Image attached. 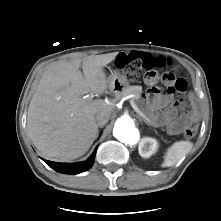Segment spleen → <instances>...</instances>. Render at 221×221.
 Returning <instances> with one entry per match:
<instances>
[{
	"label": "spleen",
	"instance_id": "spleen-1",
	"mask_svg": "<svg viewBox=\"0 0 221 221\" xmlns=\"http://www.w3.org/2000/svg\"><path fill=\"white\" fill-rule=\"evenodd\" d=\"M193 143L190 141H177L173 143L164 155L162 167L174 166L178 161L185 157L192 149Z\"/></svg>",
	"mask_w": 221,
	"mask_h": 221
}]
</instances>
